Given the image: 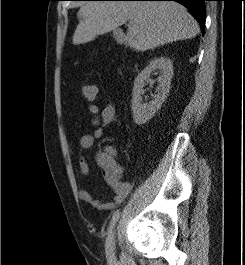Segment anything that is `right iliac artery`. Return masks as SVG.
Here are the masks:
<instances>
[{"mask_svg":"<svg viewBox=\"0 0 245 265\" xmlns=\"http://www.w3.org/2000/svg\"><path fill=\"white\" fill-rule=\"evenodd\" d=\"M119 216H120L119 210H117V211H115L113 213V216H112L111 221H110V224H109V230H111L113 228V226L115 225V223L118 221Z\"/></svg>","mask_w":245,"mask_h":265,"instance_id":"obj_1","label":"right iliac artery"}]
</instances>
